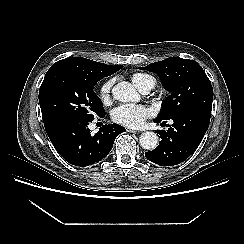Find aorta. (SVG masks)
I'll list each match as a JSON object with an SVG mask.
<instances>
[{"instance_id": "obj_1", "label": "aorta", "mask_w": 244, "mask_h": 244, "mask_svg": "<svg viewBox=\"0 0 244 244\" xmlns=\"http://www.w3.org/2000/svg\"><path fill=\"white\" fill-rule=\"evenodd\" d=\"M114 99L120 102H138L139 94L128 82H120L112 89ZM139 142L142 148L153 150L158 145V136L155 132L147 131L140 135Z\"/></svg>"}]
</instances>
